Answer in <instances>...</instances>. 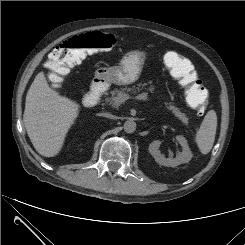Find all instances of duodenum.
Instances as JSON below:
<instances>
[{"label": "duodenum", "instance_id": "duodenum-1", "mask_svg": "<svg viewBox=\"0 0 245 245\" xmlns=\"http://www.w3.org/2000/svg\"><path fill=\"white\" fill-rule=\"evenodd\" d=\"M104 92L103 84L100 81H95L89 92L83 97V104L86 107L94 106L98 103Z\"/></svg>", "mask_w": 245, "mask_h": 245}]
</instances>
